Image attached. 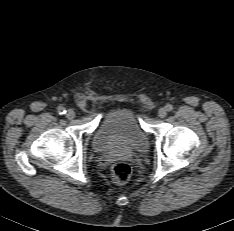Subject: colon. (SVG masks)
I'll return each instance as SVG.
<instances>
[{
	"mask_svg": "<svg viewBox=\"0 0 234 231\" xmlns=\"http://www.w3.org/2000/svg\"><path fill=\"white\" fill-rule=\"evenodd\" d=\"M131 176V168L125 163L116 164L112 169V177L115 183L125 184Z\"/></svg>",
	"mask_w": 234,
	"mask_h": 231,
	"instance_id": "obj_1",
	"label": "colon"
}]
</instances>
